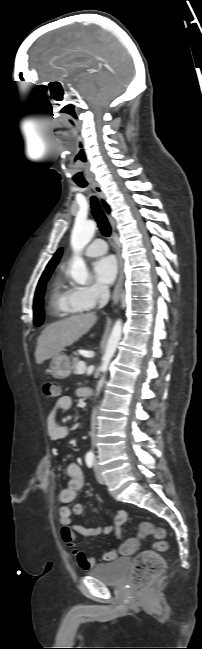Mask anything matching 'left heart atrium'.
<instances>
[{"label": "left heart atrium", "mask_w": 202, "mask_h": 649, "mask_svg": "<svg viewBox=\"0 0 202 649\" xmlns=\"http://www.w3.org/2000/svg\"><path fill=\"white\" fill-rule=\"evenodd\" d=\"M96 281L103 285L111 284L117 275V263L113 256H104L93 265Z\"/></svg>", "instance_id": "39dd6f15"}]
</instances>
